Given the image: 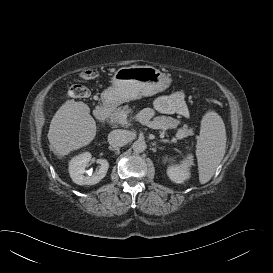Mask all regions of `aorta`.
Instances as JSON below:
<instances>
[{
  "instance_id": "aorta-1",
  "label": "aorta",
  "mask_w": 273,
  "mask_h": 273,
  "mask_svg": "<svg viewBox=\"0 0 273 273\" xmlns=\"http://www.w3.org/2000/svg\"><path fill=\"white\" fill-rule=\"evenodd\" d=\"M132 148L133 151L135 153H142L145 151L146 149V143L143 140H136L133 144H132Z\"/></svg>"
}]
</instances>
